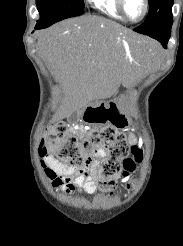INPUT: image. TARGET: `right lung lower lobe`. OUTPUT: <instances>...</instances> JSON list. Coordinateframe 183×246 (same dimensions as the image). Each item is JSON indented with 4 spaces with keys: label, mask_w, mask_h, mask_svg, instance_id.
Returning <instances> with one entry per match:
<instances>
[{
    "label": "right lung lower lobe",
    "mask_w": 183,
    "mask_h": 246,
    "mask_svg": "<svg viewBox=\"0 0 183 246\" xmlns=\"http://www.w3.org/2000/svg\"><path fill=\"white\" fill-rule=\"evenodd\" d=\"M48 26L49 25H46V24H36L35 29H42V28H46Z\"/></svg>",
    "instance_id": "right-lung-lower-lobe-1"
}]
</instances>
